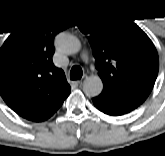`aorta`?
Returning a JSON list of instances; mask_svg holds the SVG:
<instances>
[{"label":"aorta","instance_id":"obj_1","mask_svg":"<svg viewBox=\"0 0 165 156\" xmlns=\"http://www.w3.org/2000/svg\"><path fill=\"white\" fill-rule=\"evenodd\" d=\"M59 49L66 54H76L81 50V43L75 36L66 34L58 41ZM103 89V83L100 77L91 76L87 78L83 85V91L87 96H98Z\"/></svg>","mask_w":165,"mask_h":156}]
</instances>
